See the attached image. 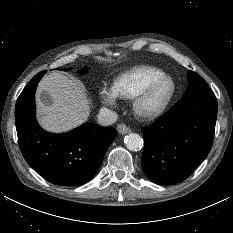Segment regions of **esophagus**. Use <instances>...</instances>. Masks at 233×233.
<instances>
[{"mask_svg":"<svg viewBox=\"0 0 233 233\" xmlns=\"http://www.w3.org/2000/svg\"><path fill=\"white\" fill-rule=\"evenodd\" d=\"M117 131L120 134H126V133H129L131 131V129L129 127H127L126 125H124V124H119L117 126Z\"/></svg>","mask_w":233,"mask_h":233,"instance_id":"1","label":"esophagus"}]
</instances>
